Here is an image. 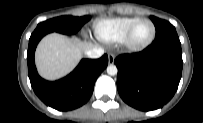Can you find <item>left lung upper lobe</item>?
Masks as SVG:
<instances>
[{
    "label": "left lung upper lobe",
    "mask_w": 203,
    "mask_h": 123,
    "mask_svg": "<svg viewBox=\"0 0 203 123\" xmlns=\"http://www.w3.org/2000/svg\"><path fill=\"white\" fill-rule=\"evenodd\" d=\"M150 18L153 21L156 28V37L169 31H176L175 27L172 24H170L168 21L161 20L154 16H151Z\"/></svg>",
    "instance_id": "5c2ea615"
}]
</instances>
